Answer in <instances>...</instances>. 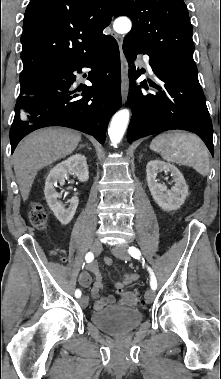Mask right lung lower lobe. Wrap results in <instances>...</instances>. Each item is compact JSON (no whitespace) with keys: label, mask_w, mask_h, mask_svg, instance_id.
I'll return each instance as SVG.
<instances>
[{"label":"right lung lower lobe","mask_w":221,"mask_h":379,"mask_svg":"<svg viewBox=\"0 0 221 379\" xmlns=\"http://www.w3.org/2000/svg\"><path fill=\"white\" fill-rule=\"evenodd\" d=\"M91 68V87L72 90L74 72ZM21 92L10 129L11 152L28 133L47 126H64L93 135L104 143L111 116L121 105L120 54L109 38L94 52L61 63L20 81ZM82 91L81 93H78Z\"/></svg>","instance_id":"obj_1"}]
</instances>
